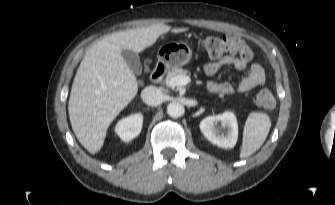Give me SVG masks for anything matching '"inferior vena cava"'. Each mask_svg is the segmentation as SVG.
Returning <instances> with one entry per match:
<instances>
[{
	"label": "inferior vena cava",
	"mask_w": 335,
	"mask_h": 205,
	"mask_svg": "<svg viewBox=\"0 0 335 205\" xmlns=\"http://www.w3.org/2000/svg\"><path fill=\"white\" fill-rule=\"evenodd\" d=\"M163 93L154 86H148L141 92V99L150 106L159 105L162 102Z\"/></svg>",
	"instance_id": "inferior-vena-cava-1"
}]
</instances>
